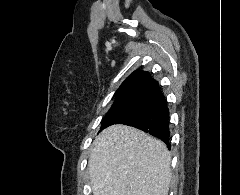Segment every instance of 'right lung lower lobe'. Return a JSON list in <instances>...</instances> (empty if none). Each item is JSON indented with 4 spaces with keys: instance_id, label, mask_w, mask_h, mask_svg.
Instances as JSON below:
<instances>
[{
    "instance_id": "1",
    "label": "right lung lower lobe",
    "mask_w": 240,
    "mask_h": 195,
    "mask_svg": "<svg viewBox=\"0 0 240 195\" xmlns=\"http://www.w3.org/2000/svg\"><path fill=\"white\" fill-rule=\"evenodd\" d=\"M169 110L159 86L153 89L141 106L126 115L115 124L136 127L169 144Z\"/></svg>"
}]
</instances>
